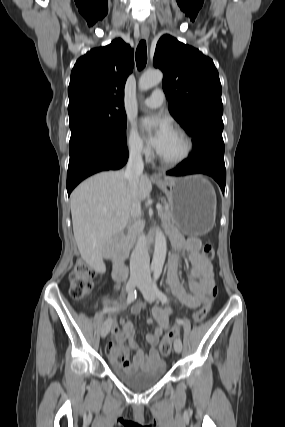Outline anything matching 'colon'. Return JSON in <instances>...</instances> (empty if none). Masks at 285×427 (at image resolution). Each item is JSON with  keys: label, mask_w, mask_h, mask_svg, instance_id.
<instances>
[{"label": "colon", "mask_w": 285, "mask_h": 427, "mask_svg": "<svg viewBox=\"0 0 285 427\" xmlns=\"http://www.w3.org/2000/svg\"><path fill=\"white\" fill-rule=\"evenodd\" d=\"M203 256L207 260H213L216 256L214 247L211 244H205L203 247ZM96 273L84 261L78 260L73 270L70 273V295L74 300L85 298L94 287V279ZM218 295L217 286H213L209 292L208 299L203 306L199 308L193 316L195 322H201L209 313L214 299ZM179 329L173 328L170 330L160 343V352L162 355H168L172 349V342L178 335ZM118 362H123V355L117 357Z\"/></svg>", "instance_id": "colon-1"}]
</instances>
